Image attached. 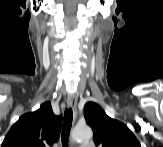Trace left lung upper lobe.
Wrapping results in <instances>:
<instances>
[{
    "mask_svg": "<svg viewBox=\"0 0 163 147\" xmlns=\"http://www.w3.org/2000/svg\"><path fill=\"white\" fill-rule=\"evenodd\" d=\"M87 124L93 129V140L99 147H141L127 125L110 118L96 103L84 108Z\"/></svg>",
    "mask_w": 163,
    "mask_h": 147,
    "instance_id": "left-lung-upper-lobe-1",
    "label": "left lung upper lobe"
}]
</instances>
